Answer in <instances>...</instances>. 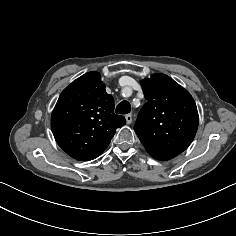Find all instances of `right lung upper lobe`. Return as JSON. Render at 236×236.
<instances>
[{
  "mask_svg": "<svg viewBox=\"0 0 236 236\" xmlns=\"http://www.w3.org/2000/svg\"><path fill=\"white\" fill-rule=\"evenodd\" d=\"M114 106L98 72L82 75L62 91L52 112L56 142L74 159H95L107 148L116 129L126 124L123 116L114 114Z\"/></svg>",
  "mask_w": 236,
  "mask_h": 236,
  "instance_id": "right-lung-upper-lobe-1",
  "label": "right lung upper lobe"
}]
</instances>
